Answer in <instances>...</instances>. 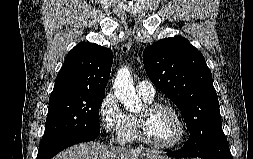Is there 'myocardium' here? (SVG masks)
Masks as SVG:
<instances>
[{"mask_svg":"<svg viewBox=\"0 0 253 159\" xmlns=\"http://www.w3.org/2000/svg\"><path fill=\"white\" fill-rule=\"evenodd\" d=\"M159 109H167L171 111L177 118L180 130L176 139L169 144H160L151 140L147 130L146 116L150 113L159 110ZM145 115L144 116H136V127H137V136L138 140L143 143L145 146L157 149V150H171L178 147L185 139L187 134V124L185 122L184 117L180 113V111L173 105L165 102H149L144 107Z\"/></svg>","mask_w":253,"mask_h":159,"instance_id":"myocardium-1","label":"myocardium"}]
</instances>
